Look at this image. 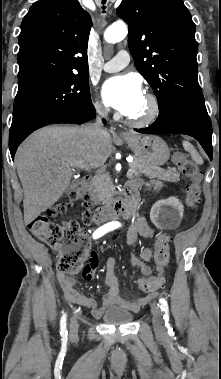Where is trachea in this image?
Returning a JSON list of instances; mask_svg holds the SVG:
<instances>
[{"label":"trachea","instance_id":"trachea-1","mask_svg":"<svg viewBox=\"0 0 221 379\" xmlns=\"http://www.w3.org/2000/svg\"><path fill=\"white\" fill-rule=\"evenodd\" d=\"M105 2H106V0H103V2H102V3H103V4H105ZM103 9H105V7H103Z\"/></svg>","mask_w":221,"mask_h":379}]
</instances>
